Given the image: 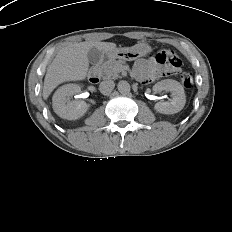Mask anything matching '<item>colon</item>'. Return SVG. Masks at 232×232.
<instances>
[{
  "mask_svg": "<svg viewBox=\"0 0 232 232\" xmlns=\"http://www.w3.org/2000/svg\"><path fill=\"white\" fill-rule=\"evenodd\" d=\"M153 58L159 66L163 65L174 69L175 73L179 71L182 65V61L179 56L173 50L169 49L159 50ZM181 82L185 88L190 89L193 86L192 74L188 72L182 73Z\"/></svg>",
  "mask_w": 232,
  "mask_h": 232,
  "instance_id": "5ec220e1",
  "label": "colon"
}]
</instances>
